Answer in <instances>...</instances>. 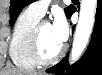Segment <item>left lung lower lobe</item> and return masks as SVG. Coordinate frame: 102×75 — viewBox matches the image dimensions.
<instances>
[{
	"label": "left lung lower lobe",
	"instance_id": "obj_1",
	"mask_svg": "<svg viewBox=\"0 0 102 75\" xmlns=\"http://www.w3.org/2000/svg\"><path fill=\"white\" fill-rule=\"evenodd\" d=\"M74 9L68 18L74 13ZM73 26V31H74ZM68 55L58 64L46 70L56 75H102V1L97 2L95 26L91 42L83 57L74 65L69 66ZM66 70V71H65Z\"/></svg>",
	"mask_w": 102,
	"mask_h": 75
}]
</instances>
